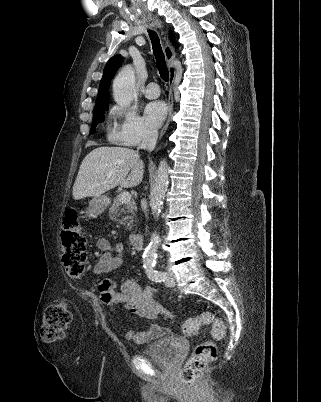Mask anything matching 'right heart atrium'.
I'll return each mask as SVG.
<instances>
[{
  "instance_id": "1",
  "label": "right heart atrium",
  "mask_w": 321,
  "mask_h": 402,
  "mask_svg": "<svg viewBox=\"0 0 321 402\" xmlns=\"http://www.w3.org/2000/svg\"><path fill=\"white\" fill-rule=\"evenodd\" d=\"M110 117L113 121L110 138L121 145L137 147L151 143L156 138V132L133 108L114 105Z\"/></svg>"
}]
</instances>
